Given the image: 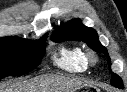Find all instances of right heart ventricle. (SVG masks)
<instances>
[{
  "label": "right heart ventricle",
  "instance_id": "obj_1",
  "mask_svg": "<svg viewBox=\"0 0 127 92\" xmlns=\"http://www.w3.org/2000/svg\"><path fill=\"white\" fill-rule=\"evenodd\" d=\"M54 64L70 73H80L87 69L83 51L77 47H60L54 55Z\"/></svg>",
  "mask_w": 127,
  "mask_h": 92
}]
</instances>
